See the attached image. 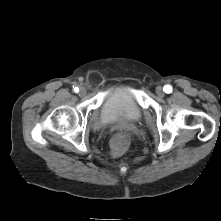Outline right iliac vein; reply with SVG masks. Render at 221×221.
I'll return each mask as SVG.
<instances>
[{
	"mask_svg": "<svg viewBox=\"0 0 221 221\" xmlns=\"http://www.w3.org/2000/svg\"><path fill=\"white\" fill-rule=\"evenodd\" d=\"M87 93L86 89L85 88H81L80 91H79V96L83 97L85 96Z\"/></svg>",
	"mask_w": 221,
	"mask_h": 221,
	"instance_id": "obj_1",
	"label": "right iliac vein"
}]
</instances>
